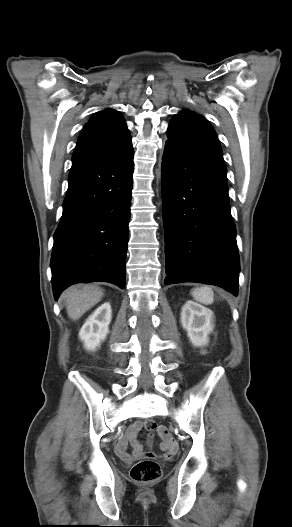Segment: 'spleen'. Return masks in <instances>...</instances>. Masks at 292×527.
<instances>
[{"instance_id":"3e777b00","label":"spleen","mask_w":292,"mask_h":527,"mask_svg":"<svg viewBox=\"0 0 292 527\" xmlns=\"http://www.w3.org/2000/svg\"><path fill=\"white\" fill-rule=\"evenodd\" d=\"M191 294L197 302L205 305L212 304L214 301V292L209 286L195 288L192 290Z\"/></svg>"}]
</instances>
